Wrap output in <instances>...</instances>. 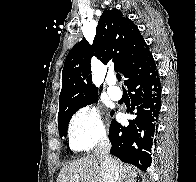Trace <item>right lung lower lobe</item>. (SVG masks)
Listing matches in <instances>:
<instances>
[{
  "mask_svg": "<svg viewBox=\"0 0 196 182\" xmlns=\"http://www.w3.org/2000/svg\"><path fill=\"white\" fill-rule=\"evenodd\" d=\"M157 72L151 56L129 75L125 81L131 98L129 112L134 114L133 110H137L136 117L130 119L128 125H122L113 119L109 130L112 144L110 153L142 171L150 167L152 148L156 144L154 136L161 99V83Z\"/></svg>",
  "mask_w": 196,
  "mask_h": 182,
  "instance_id": "obj_1",
  "label": "right lung lower lobe"
}]
</instances>
